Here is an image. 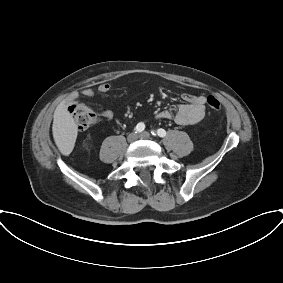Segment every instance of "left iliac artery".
<instances>
[{
	"instance_id": "44dca946",
	"label": "left iliac artery",
	"mask_w": 283,
	"mask_h": 283,
	"mask_svg": "<svg viewBox=\"0 0 283 283\" xmlns=\"http://www.w3.org/2000/svg\"><path fill=\"white\" fill-rule=\"evenodd\" d=\"M152 135L156 136L158 135L159 137H165L166 136V131L162 128H159L156 132L152 131Z\"/></svg>"
}]
</instances>
